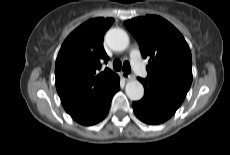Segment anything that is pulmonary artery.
Here are the masks:
<instances>
[{"mask_svg": "<svg viewBox=\"0 0 230 155\" xmlns=\"http://www.w3.org/2000/svg\"><path fill=\"white\" fill-rule=\"evenodd\" d=\"M130 63L133 68V70L142 77H147L148 71L146 70L141 53L137 47H134L130 51Z\"/></svg>", "mask_w": 230, "mask_h": 155, "instance_id": "pulmonary-artery-1", "label": "pulmonary artery"}]
</instances>
